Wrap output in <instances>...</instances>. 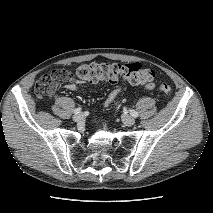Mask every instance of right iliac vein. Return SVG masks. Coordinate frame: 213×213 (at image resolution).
Wrapping results in <instances>:
<instances>
[{
	"label": "right iliac vein",
	"instance_id": "obj_1",
	"mask_svg": "<svg viewBox=\"0 0 213 213\" xmlns=\"http://www.w3.org/2000/svg\"><path fill=\"white\" fill-rule=\"evenodd\" d=\"M73 120L77 123L82 122L84 120V115L79 113L73 116Z\"/></svg>",
	"mask_w": 213,
	"mask_h": 213
}]
</instances>
